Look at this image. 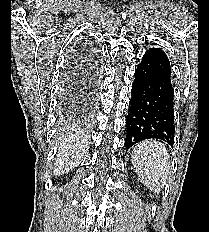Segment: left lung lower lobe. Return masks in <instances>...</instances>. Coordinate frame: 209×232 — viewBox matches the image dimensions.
Wrapping results in <instances>:
<instances>
[{
	"instance_id": "1",
	"label": "left lung lower lobe",
	"mask_w": 209,
	"mask_h": 232,
	"mask_svg": "<svg viewBox=\"0 0 209 232\" xmlns=\"http://www.w3.org/2000/svg\"><path fill=\"white\" fill-rule=\"evenodd\" d=\"M170 62L161 48H150L135 71L126 120L128 150L145 139L174 144V103Z\"/></svg>"
}]
</instances>
